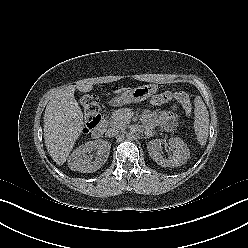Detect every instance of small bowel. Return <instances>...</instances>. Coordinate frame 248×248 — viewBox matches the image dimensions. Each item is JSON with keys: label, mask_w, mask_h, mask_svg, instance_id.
Instances as JSON below:
<instances>
[{"label": "small bowel", "mask_w": 248, "mask_h": 248, "mask_svg": "<svg viewBox=\"0 0 248 248\" xmlns=\"http://www.w3.org/2000/svg\"><path fill=\"white\" fill-rule=\"evenodd\" d=\"M173 117V112L172 110H169V111H165V112H162L161 115H160V121L163 123V124H166L167 126H170L171 125V119Z\"/></svg>", "instance_id": "c3829d8e"}]
</instances>
